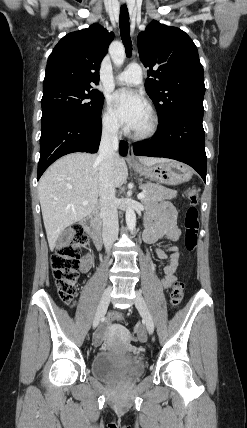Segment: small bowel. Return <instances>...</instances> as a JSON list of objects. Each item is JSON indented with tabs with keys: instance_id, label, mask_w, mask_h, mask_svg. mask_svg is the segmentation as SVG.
Segmentation results:
<instances>
[{
	"instance_id": "obj_1",
	"label": "small bowel",
	"mask_w": 247,
	"mask_h": 428,
	"mask_svg": "<svg viewBox=\"0 0 247 428\" xmlns=\"http://www.w3.org/2000/svg\"><path fill=\"white\" fill-rule=\"evenodd\" d=\"M180 237V230L176 224V210L170 202H163L159 205L152 206L146 218V229L144 239L148 243H154L161 238H167L174 243ZM170 256H167L163 249L157 250V256L164 261L163 278L161 286L168 289L176 280L175 272L180 261V252L176 244L169 247ZM94 262L92 254L83 257L81 270L88 272ZM94 342L100 345L103 342V332L99 331Z\"/></svg>"
}]
</instances>
